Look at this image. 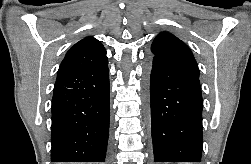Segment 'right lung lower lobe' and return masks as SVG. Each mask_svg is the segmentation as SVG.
Returning a JSON list of instances; mask_svg holds the SVG:
<instances>
[{"label":"right lung lower lobe","mask_w":251,"mask_h":164,"mask_svg":"<svg viewBox=\"0 0 251 164\" xmlns=\"http://www.w3.org/2000/svg\"><path fill=\"white\" fill-rule=\"evenodd\" d=\"M107 64L56 80L51 107L52 162L109 159Z\"/></svg>","instance_id":"1"}]
</instances>
